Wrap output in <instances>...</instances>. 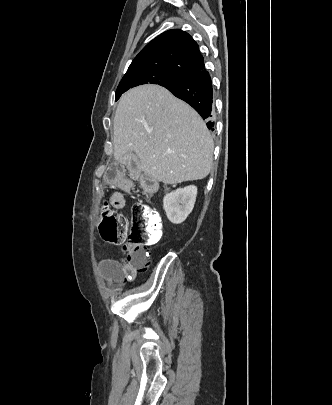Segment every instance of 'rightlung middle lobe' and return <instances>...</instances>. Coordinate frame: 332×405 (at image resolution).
Wrapping results in <instances>:
<instances>
[{"mask_svg": "<svg viewBox=\"0 0 332 405\" xmlns=\"http://www.w3.org/2000/svg\"><path fill=\"white\" fill-rule=\"evenodd\" d=\"M182 79L183 77L180 75L165 73L157 70H141L126 73L116 90L115 101H117L121 94H123L125 91L137 85L151 83L166 87L168 85L177 83Z\"/></svg>", "mask_w": 332, "mask_h": 405, "instance_id": "obj_1", "label": "right lung middle lobe"}]
</instances>
